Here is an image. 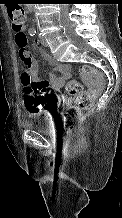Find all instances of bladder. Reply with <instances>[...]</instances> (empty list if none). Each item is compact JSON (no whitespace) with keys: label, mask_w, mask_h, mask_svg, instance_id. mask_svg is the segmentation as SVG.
<instances>
[{"label":"bladder","mask_w":122,"mask_h":218,"mask_svg":"<svg viewBox=\"0 0 122 218\" xmlns=\"http://www.w3.org/2000/svg\"><path fill=\"white\" fill-rule=\"evenodd\" d=\"M45 115L42 112H29L25 115L26 125L37 132L45 133L49 130V123L44 119Z\"/></svg>","instance_id":"bladder-1"}]
</instances>
